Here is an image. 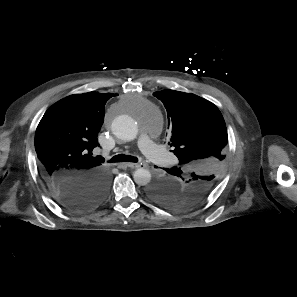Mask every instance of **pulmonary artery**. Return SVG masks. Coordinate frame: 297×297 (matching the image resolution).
Segmentation results:
<instances>
[{"mask_svg": "<svg viewBox=\"0 0 297 297\" xmlns=\"http://www.w3.org/2000/svg\"><path fill=\"white\" fill-rule=\"evenodd\" d=\"M152 128L151 125H148L146 132L141 134L139 138V148L143 154L155 164L169 167L175 162V158L152 141L150 133Z\"/></svg>", "mask_w": 297, "mask_h": 297, "instance_id": "1", "label": "pulmonary artery"}]
</instances>
